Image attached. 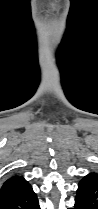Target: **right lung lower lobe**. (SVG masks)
<instances>
[{"mask_svg":"<svg viewBox=\"0 0 98 209\" xmlns=\"http://www.w3.org/2000/svg\"><path fill=\"white\" fill-rule=\"evenodd\" d=\"M0 209H40V206L36 194L29 186Z\"/></svg>","mask_w":98,"mask_h":209,"instance_id":"obj_1","label":"right lung lower lobe"}]
</instances>
